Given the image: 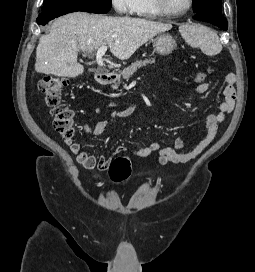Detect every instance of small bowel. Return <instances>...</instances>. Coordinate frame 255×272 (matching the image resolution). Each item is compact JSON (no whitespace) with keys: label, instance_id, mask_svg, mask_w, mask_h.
Returning a JSON list of instances; mask_svg holds the SVG:
<instances>
[{"label":"small bowel","instance_id":"obj_1","mask_svg":"<svg viewBox=\"0 0 255 272\" xmlns=\"http://www.w3.org/2000/svg\"><path fill=\"white\" fill-rule=\"evenodd\" d=\"M235 82L236 75L234 73L226 75L225 86L222 91L223 100L218 105V112L207 117L204 133L188 149L185 151L183 150L184 142L182 139L178 138L172 147H163L160 142H152L142 148L133 150L132 154L141 158H152L160 165L187 163L198 157L214 140L220 124L225 116L234 108L236 100V91L234 88ZM210 87L211 84L206 81L198 84L195 88V92L197 94H204L209 91ZM137 108V105H130L124 109L113 111L107 118L100 120L93 129L87 127L86 131L96 136H101L105 133L113 119L129 117L137 110ZM65 143L69 146L76 161L87 170L94 168L105 170L111 162V156H98L88 153L82 149L79 143L72 142L70 139H66ZM125 150L126 147L124 146L118 148L119 152Z\"/></svg>","mask_w":255,"mask_h":272}]
</instances>
